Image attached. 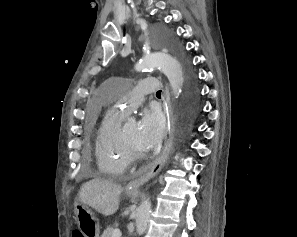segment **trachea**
<instances>
[{
	"mask_svg": "<svg viewBox=\"0 0 297 237\" xmlns=\"http://www.w3.org/2000/svg\"><path fill=\"white\" fill-rule=\"evenodd\" d=\"M156 95L160 96L161 95V90L157 91Z\"/></svg>",
	"mask_w": 297,
	"mask_h": 237,
	"instance_id": "1",
	"label": "trachea"
}]
</instances>
